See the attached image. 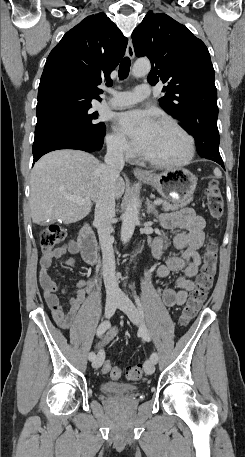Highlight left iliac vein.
<instances>
[{
  "mask_svg": "<svg viewBox=\"0 0 245 457\" xmlns=\"http://www.w3.org/2000/svg\"><path fill=\"white\" fill-rule=\"evenodd\" d=\"M117 307L124 311V313L129 317L132 323L140 325L141 318L138 309L135 307L134 303L126 296H119V301ZM144 370L147 375H152L155 371L154 362L151 359H147L144 363Z\"/></svg>",
  "mask_w": 245,
  "mask_h": 457,
  "instance_id": "1",
  "label": "left iliac vein"
}]
</instances>
